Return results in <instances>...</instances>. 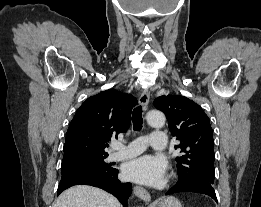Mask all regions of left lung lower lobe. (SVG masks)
Instances as JSON below:
<instances>
[{"label": "left lung lower lobe", "mask_w": 261, "mask_h": 207, "mask_svg": "<svg viewBox=\"0 0 261 207\" xmlns=\"http://www.w3.org/2000/svg\"><path fill=\"white\" fill-rule=\"evenodd\" d=\"M188 192L208 195L217 202V197L212 184L207 181L196 179L179 178L178 182L166 192V195Z\"/></svg>", "instance_id": "left-lung-lower-lobe-1"}]
</instances>
